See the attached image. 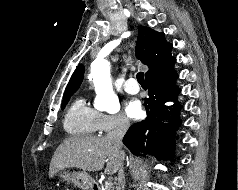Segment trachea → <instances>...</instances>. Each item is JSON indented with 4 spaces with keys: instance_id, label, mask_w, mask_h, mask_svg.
Returning <instances> with one entry per match:
<instances>
[{
    "instance_id": "obj_1",
    "label": "trachea",
    "mask_w": 238,
    "mask_h": 190,
    "mask_svg": "<svg viewBox=\"0 0 238 190\" xmlns=\"http://www.w3.org/2000/svg\"><path fill=\"white\" fill-rule=\"evenodd\" d=\"M137 81L139 82V84H140L142 87L146 86L145 80H144V74H143V72H139V73L137 74Z\"/></svg>"
}]
</instances>
